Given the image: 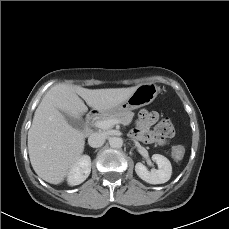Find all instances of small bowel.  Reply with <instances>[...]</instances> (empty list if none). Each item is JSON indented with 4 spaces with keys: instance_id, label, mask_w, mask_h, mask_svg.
Instances as JSON below:
<instances>
[{
    "instance_id": "c3829d8e",
    "label": "small bowel",
    "mask_w": 229,
    "mask_h": 229,
    "mask_svg": "<svg viewBox=\"0 0 229 229\" xmlns=\"http://www.w3.org/2000/svg\"><path fill=\"white\" fill-rule=\"evenodd\" d=\"M159 119V114L154 111L142 110L139 115L138 125L134 130L135 137L140 141H149L151 140V134L148 129L155 124ZM182 148L181 145H177L174 147Z\"/></svg>"
}]
</instances>
